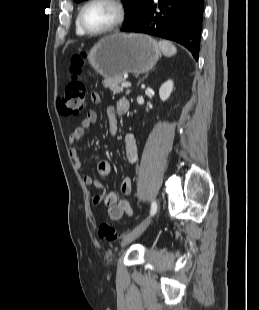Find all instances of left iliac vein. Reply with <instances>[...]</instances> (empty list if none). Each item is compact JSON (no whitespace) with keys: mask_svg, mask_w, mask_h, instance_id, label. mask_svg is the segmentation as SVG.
<instances>
[{"mask_svg":"<svg viewBox=\"0 0 259 310\" xmlns=\"http://www.w3.org/2000/svg\"><path fill=\"white\" fill-rule=\"evenodd\" d=\"M152 218L148 217L144 221H142L139 225H137L131 232H129L127 235L123 237V240L121 242V246L124 247L128 244H130L132 241H134L136 238H138L149 226Z\"/></svg>","mask_w":259,"mask_h":310,"instance_id":"left-iliac-vein-1","label":"left iliac vein"}]
</instances>
